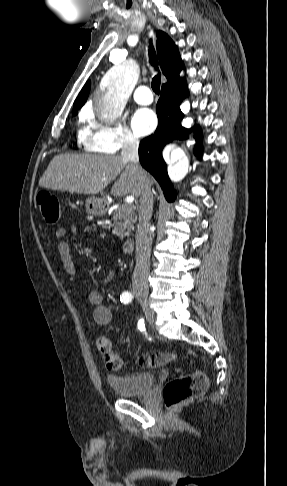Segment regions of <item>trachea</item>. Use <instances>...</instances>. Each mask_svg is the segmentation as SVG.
<instances>
[{"instance_id":"1","label":"trachea","mask_w":287,"mask_h":486,"mask_svg":"<svg viewBox=\"0 0 287 486\" xmlns=\"http://www.w3.org/2000/svg\"><path fill=\"white\" fill-rule=\"evenodd\" d=\"M149 58H150L151 65L156 67V69L158 70V67H157L158 60H157L156 53H155V50H154V47L152 46V44L150 45V48H149ZM160 84H161V73L158 72V74L155 75L154 78L152 79V83H151V87L156 94H159V92H160Z\"/></svg>"}]
</instances>
